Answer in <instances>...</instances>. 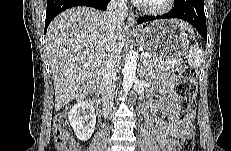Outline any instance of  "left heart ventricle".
Returning a JSON list of instances; mask_svg holds the SVG:
<instances>
[{"label": "left heart ventricle", "instance_id": "left-heart-ventricle-1", "mask_svg": "<svg viewBox=\"0 0 231 151\" xmlns=\"http://www.w3.org/2000/svg\"><path fill=\"white\" fill-rule=\"evenodd\" d=\"M148 2H152V3H161L162 0H153V1H148Z\"/></svg>", "mask_w": 231, "mask_h": 151}]
</instances>
